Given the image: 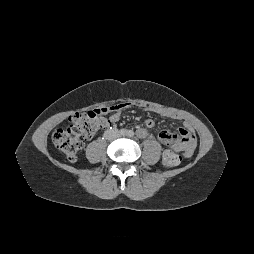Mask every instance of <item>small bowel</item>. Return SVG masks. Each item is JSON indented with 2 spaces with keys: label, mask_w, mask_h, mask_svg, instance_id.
<instances>
[{
  "label": "small bowel",
  "mask_w": 254,
  "mask_h": 254,
  "mask_svg": "<svg viewBox=\"0 0 254 254\" xmlns=\"http://www.w3.org/2000/svg\"><path fill=\"white\" fill-rule=\"evenodd\" d=\"M128 107H130L129 103H121L107 107V112L105 114L110 113V116L102 118V124L99 129H106L112 124L118 122L121 111ZM155 111L166 118H180L178 114L165 109H155ZM154 125L155 122L153 119H145L144 126L146 128L151 129L154 127ZM158 138L161 143L168 146V149H166L163 153V161L165 157L170 153H180L184 158H189L194 153L196 146V136L189 123H185L182 127H180L177 134L169 130H162L160 131Z\"/></svg>",
  "instance_id": "obj_1"
}]
</instances>
